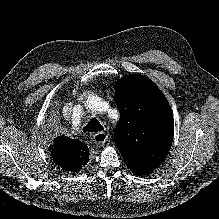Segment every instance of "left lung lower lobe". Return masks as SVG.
<instances>
[{
  "mask_svg": "<svg viewBox=\"0 0 219 219\" xmlns=\"http://www.w3.org/2000/svg\"><path fill=\"white\" fill-rule=\"evenodd\" d=\"M149 173H151V172H140V173H135L136 175H147V174H149Z\"/></svg>",
  "mask_w": 219,
  "mask_h": 219,
  "instance_id": "1",
  "label": "left lung lower lobe"
}]
</instances>
